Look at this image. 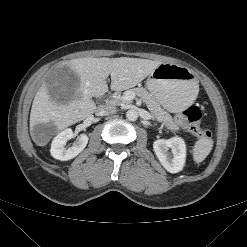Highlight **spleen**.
Here are the masks:
<instances>
[{"label":"spleen","mask_w":247,"mask_h":247,"mask_svg":"<svg viewBox=\"0 0 247 247\" xmlns=\"http://www.w3.org/2000/svg\"><path fill=\"white\" fill-rule=\"evenodd\" d=\"M213 140L208 137H201L194 145L193 159L196 163L202 162L211 152Z\"/></svg>","instance_id":"spleen-1"}]
</instances>
